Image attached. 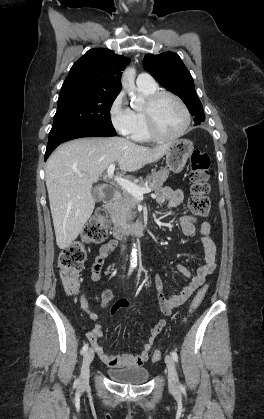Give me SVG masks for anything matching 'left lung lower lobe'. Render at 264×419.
I'll return each mask as SVG.
<instances>
[{"mask_svg":"<svg viewBox=\"0 0 264 419\" xmlns=\"http://www.w3.org/2000/svg\"><path fill=\"white\" fill-rule=\"evenodd\" d=\"M205 120V118L204 117H198V118H196L195 120H194V122H195V125H199L200 123H202L203 121Z\"/></svg>","mask_w":264,"mask_h":419,"instance_id":"left-lung-lower-lobe-1","label":"left lung lower lobe"}]
</instances>
